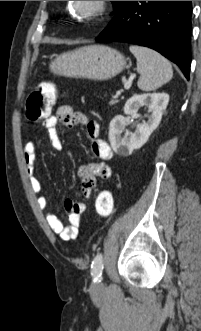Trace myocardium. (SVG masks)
Here are the masks:
<instances>
[{"label":"myocardium","instance_id":"myocardium-1","mask_svg":"<svg viewBox=\"0 0 201 331\" xmlns=\"http://www.w3.org/2000/svg\"><path fill=\"white\" fill-rule=\"evenodd\" d=\"M93 9L88 12H83L79 7L80 1H73L72 7L76 14L86 19H94L102 16L108 9L109 1H92Z\"/></svg>","mask_w":201,"mask_h":331}]
</instances>
